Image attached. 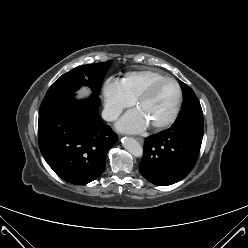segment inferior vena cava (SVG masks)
Wrapping results in <instances>:
<instances>
[{
    "instance_id": "inferior-vena-cava-1",
    "label": "inferior vena cava",
    "mask_w": 248,
    "mask_h": 248,
    "mask_svg": "<svg viewBox=\"0 0 248 248\" xmlns=\"http://www.w3.org/2000/svg\"><path fill=\"white\" fill-rule=\"evenodd\" d=\"M120 113H121L120 110L113 108H105L102 111V117L106 121H114L119 117Z\"/></svg>"
}]
</instances>
